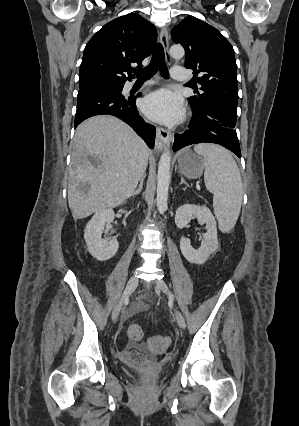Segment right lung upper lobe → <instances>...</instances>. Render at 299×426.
<instances>
[{
    "mask_svg": "<svg viewBox=\"0 0 299 426\" xmlns=\"http://www.w3.org/2000/svg\"><path fill=\"white\" fill-rule=\"evenodd\" d=\"M156 38L154 25L137 14L124 15L107 23L85 47L79 87L124 85L127 80L131 81L133 65L142 66Z\"/></svg>",
    "mask_w": 299,
    "mask_h": 426,
    "instance_id": "right-lung-upper-lobe-1",
    "label": "right lung upper lobe"
}]
</instances>
